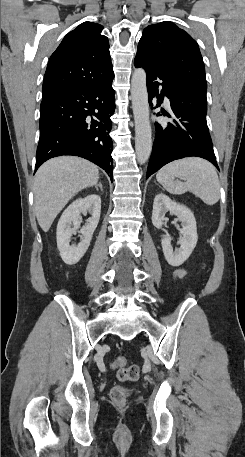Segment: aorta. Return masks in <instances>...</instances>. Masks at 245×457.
Instances as JSON below:
<instances>
[{"label":"aorta","mask_w":245,"mask_h":457,"mask_svg":"<svg viewBox=\"0 0 245 457\" xmlns=\"http://www.w3.org/2000/svg\"><path fill=\"white\" fill-rule=\"evenodd\" d=\"M146 72L137 68L131 79L132 109L135 121V150L139 163H145L152 150V129L149 120V103Z\"/></svg>","instance_id":"1"}]
</instances>
